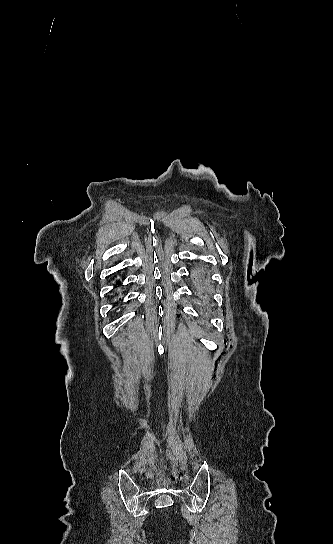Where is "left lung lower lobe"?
Listing matches in <instances>:
<instances>
[{
  "mask_svg": "<svg viewBox=\"0 0 333 544\" xmlns=\"http://www.w3.org/2000/svg\"><path fill=\"white\" fill-rule=\"evenodd\" d=\"M193 278L198 297L203 302L208 303L210 300V281L207 273L201 268L195 269Z\"/></svg>",
  "mask_w": 333,
  "mask_h": 544,
  "instance_id": "obj_1",
  "label": "left lung lower lobe"
}]
</instances>
